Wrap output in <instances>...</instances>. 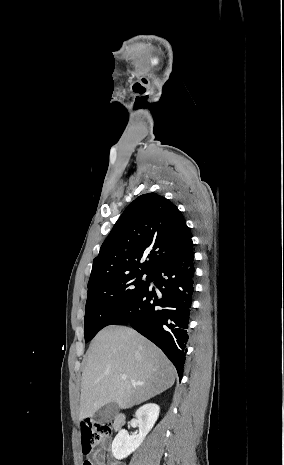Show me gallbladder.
I'll return each instance as SVG.
<instances>
[{"label":"gallbladder","mask_w":284,"mask_h":465,"mask_svg":"<svg viewBox=\"0 0 284 465\" xmlns=\"http://www.w3.org/2000/svg\"><path fill=\"white\" fill-rule=\"evenodd\" d=\"M118 413L119 407L117 403H108L93 415L92 421L93 423H99V425H106V423H112Z\"/></svg>","instance_id":"bac80fb5"}]
</instances>
